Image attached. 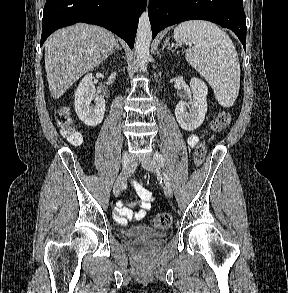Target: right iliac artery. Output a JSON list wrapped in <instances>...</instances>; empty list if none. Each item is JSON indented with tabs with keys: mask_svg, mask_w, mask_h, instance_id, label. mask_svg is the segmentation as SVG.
Returning <instances> with one entry per match:
<instances>
[{
	"mask_svg": "<svg viewBox=\"0 0 288 293\" xmlns=\"http://www.w3.org/2000/svg\"><path fill=\"white\" fill-rule=\"evenodd\" d=\"M121 163H122V169L123 170H128L129 167H130V159H129V156H122Z\"/></svg>",
	"mask_w": 288,
	"mask_h": 293,
	"instance_id": "1",
	"label": "right iliac artery"
}]
</instances>
